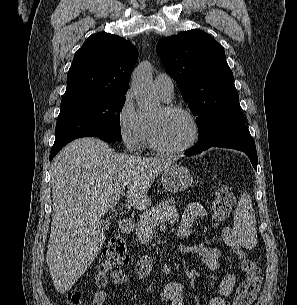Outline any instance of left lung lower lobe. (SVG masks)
I'll return each mask as SVG.
<instances>
[{
	"label": "left lung lower lobe",
	"instance_id": "1",
	"mask_svg": "<svg viewBox=\"0 0 297 305\" xmlns=\"http://www.w3.org/2000/svg\"><path fill=\"white\" fill-rule=\"evenodd\" d=\"M199 147L196 145L186 152L185 155H196L210 147H223L243 151L249 157L253 167L257 170V151L254 140L246 127L245 123L239 124L236 127L225 132L220 138L212 142L209 139H202Z\"/></svg>",
	"mask_w": 297,
	"mask_h": 305
}]
</instances>
